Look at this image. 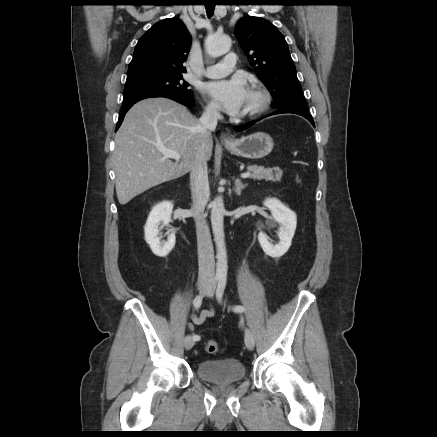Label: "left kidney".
<instances>
[{
	"label": "left kidney",
	"instance_id": "5707ae66",
	"mask_svg": "<svg viewBox=\"0 0 437 437\" xmlns=\"http://www.w3.org/2000/svg\"><path fill=\"white\" fill-rule=\"evenodd\" d=\"M263 204L269 208L273 219L279 224V242L277 244L270 243L267 235L263 232L258 234V241L266 255L279 258L283 256L291 246L292 238L296 230L297 216L295 212L276 198H268Z\"/></svg>",
	"mask_w": 437,
	"mask_h": 437
}]
</instances>
